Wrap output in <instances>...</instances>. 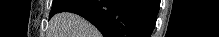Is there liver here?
Listing matches in <instances>:
<instances>
[{
	"label": "liver",
	"mask_w": 219,
	"mask_h": 37,
	"mask_svg": "<svg viewBox=\"0 0 219 37\" xmlns=\"http://www.w3.org/2000/svg\"><path fill=\"white\" fill-rule=\"evenodd\" d=\"M52 37H98L99 33L88 21L79 15L63 12L50 21Z\"/></svg>",
	"instance_id": "1"
}]
</instances>
